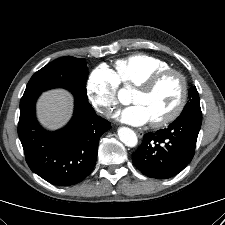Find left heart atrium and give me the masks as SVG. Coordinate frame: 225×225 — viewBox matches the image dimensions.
I'll use <instances>...</instances> for the list:
<instances>
[{
  "mask_svg": "<svg viewBox=\"0 0 225 225\" xmlns=\"http://www.w3.org/2000/svg\"><path fill=\"white\" fill-rule=\"evenodd\" d=\"M118 119L124 123L140 126L150 121L146 109L140 104L125 107L118 113Z\"/></svg>",
  "mask_w": 225,
  "mask_h": 225,
  "instance_id": "39dd6f15",
  "label": "left heart atrium"
}]
</instances>
